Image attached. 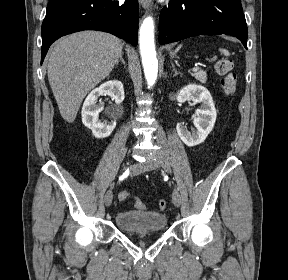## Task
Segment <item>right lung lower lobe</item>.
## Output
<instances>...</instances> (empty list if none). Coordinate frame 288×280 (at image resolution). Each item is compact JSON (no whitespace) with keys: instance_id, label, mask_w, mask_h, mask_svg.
Wrapping results in <instances>:
<instances>
[{"instance_id":"1","label":"right lung lower lobe","mask_w":288,"mask_h":280,"mask_svg":"<svg viewBox=\"0 0 288 280\" xmlns=\"http://www.w3.org/2000/svg\"><path fill=\"white\" fill-rule=\"evenodd\" d=\"M138 19V0H50L41 31V63L55 40L81 30L109 32L136 46Z\"/></svg>"}]
</instances>
